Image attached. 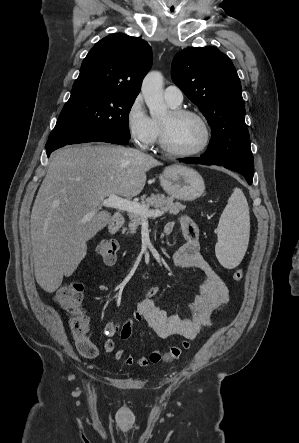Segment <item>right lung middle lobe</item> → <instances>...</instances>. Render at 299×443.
I'll use <instances>...</instances> for the list:
<instances>
[{"label": "right lung middle lobe", "mask_w": 299, "mask_h": 443, "mask_svg": "<svg viewBox=\"0 0 299 443\" xmlns=\"http://www.w3.org/2000/svg\"><path fill=\"white\" fill-rule=\"evenodd\" d=\"M135 98L97 89L72 90L48 141L96 133L130 139L128 119Z\"/></svg>", "instance_id": "1"}]
</instances>
